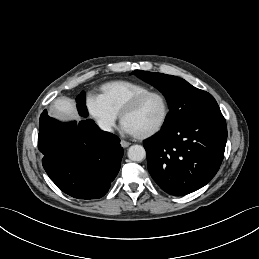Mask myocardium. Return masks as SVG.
I'll use <instances>...</instances> for the list:
<instances>
[{
	"mask_svg": "<svg viewBox=\"0 0 259 259\" xmlns=\"http://www.w3.org/2000/svg\"><path fill=\"white\" fill-rule=\"evenodd\" d=\"M151 96H157L159 97L163 104H164V114H163V117L161 119V121L159 122V124L154 127L153 129H151L150 131L146 132V133H143V134H136L135 136L139 139H146V138H150L154 135H156L157 133H159L163 128L164 126L166 125L167 121H168V118H169V115H170V103H169V100L168 98L162 93V92H159V91H148V92H145L141 95H138L136 96L135 98H133L124 108L123 110L121 111L120 113V120L121 122L123 123L124 122V119L125 117L132 113L133 111H135L139 105L147 98L151 97Z\"/></svg>",
	"mask_w": 259,
	"mask_h": 259,
	"instance_id": "obj_1",
	"label": "myocardium"
}]
</instances>
